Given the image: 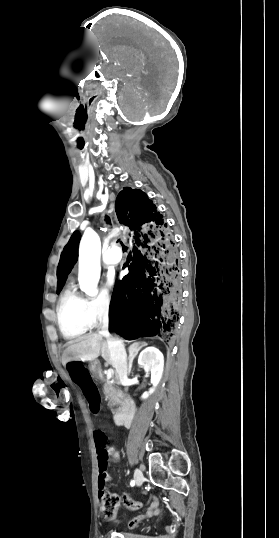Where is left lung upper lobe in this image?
<instances>
[{
	"mask_svg": "<svg viewBox=\"0 0 279 538\" xmlns=\"http://www.w3.org/2000/svg\"><path fill=\"white\" fill-rule=\"evenodd\" d=\"M81 238V234L76 231L72 235L70 241L65 246L58 265L57 277V293H60L68 274L71 272L74 264L78 259V244Z\"/></svg>",
	"mask_w": 279,
	"mask_h": 538,
	"instance_id": "1",
	"label": "left lung upper lobe"
}]
</instances>
